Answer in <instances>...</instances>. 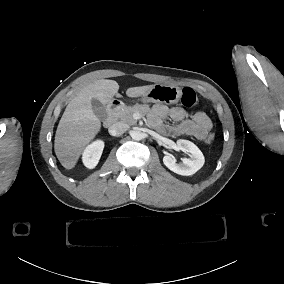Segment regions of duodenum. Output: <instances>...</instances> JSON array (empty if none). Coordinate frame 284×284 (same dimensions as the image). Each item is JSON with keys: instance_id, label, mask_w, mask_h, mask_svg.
<instances>
[{"instance_id": "duodenum-1", "label": "duodenum", "mask_w": 284, "mask_h": 284, "mask_svg": "<svg viewBox=\"0 0 284 284\" xmlns=\"http://www.w3.org/2000/svg\"><path fill=\"white\" fill-rule=\"evenodd\" d=\"M121 108L120 101L111 102L109 110L106 112L105 117L103 119V125L105 127L111 126L117 118V114Z\"/></svg>"}]
</instances>
